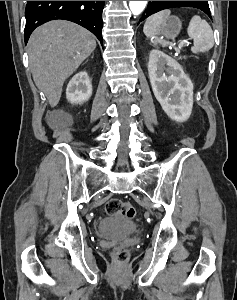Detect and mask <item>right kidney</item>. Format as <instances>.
Listing matches in <instances>:
<instances>
[{
	"mask_svg": "<svg viewBox=\"0 0 237 300\" xmlns=\"http://www.w3.org/2000/svg\"><path fill=\"white\" fill-rule=\"evenodd\" d=\"M92 95V85L86 71H81L72 77L66 89V97L69 103L81 105L88 101Z\"/></svg>",
	"mask_w": 237,
	"mask_h": 300,
	"instance_id": "obj_1",
	"label": "right kidney"
}]
</instances>
